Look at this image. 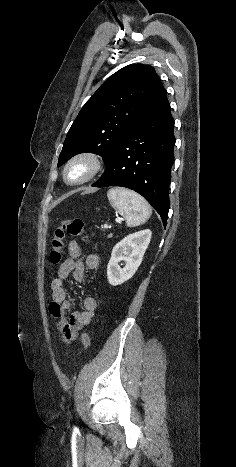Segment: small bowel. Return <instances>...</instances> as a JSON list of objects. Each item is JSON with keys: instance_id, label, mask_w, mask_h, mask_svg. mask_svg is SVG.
I'll use <instances>...</instances> for the list:
<instances>
[{"instance_id": "small-bowel-1", "label": "small bowel", "mask_w": 236, "mask_h": 467, "mask_svg": "<svg viewBox=\"0 0 236 467\" xmlns=\"http://www.w3.org/2000/svg\"><path fill=\"white\" fill-rule=\"evenodd\" d=\"M70 257L66 259L58 269L57 276L51 282L52 301L49 312L55 319V327L62 338L72 342L78 338L79 331L89 325L94 317L96 301L92 297H86L81 310H75L68 300L64 283L71 275L76 282H82L85 278V270H96L100 266L98 256L90 254L83 262L80 250L76 243L69 245Z\"/></svg>"}]
</instances>
